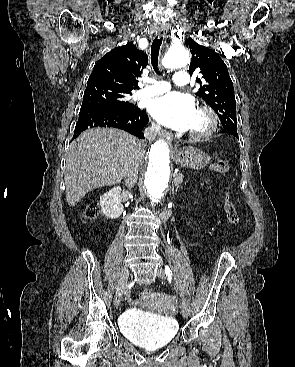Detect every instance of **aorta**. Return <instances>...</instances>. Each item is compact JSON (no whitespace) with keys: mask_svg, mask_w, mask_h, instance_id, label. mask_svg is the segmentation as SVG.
<instances>
[{"mask_svg":"<svg viewBox=\"0 0 295 367\" xmlns=\"http://www.w3.org/2000/svg\"><path fill=\"white\" fill-rule=\"evenodd\" d=\"M190 62L189 52L182 46L171 48L163 58L167 69L183 68ZM169 143L160 139L150 148L145 170V187L152 201L158 203L170 181Z\"/></svg>","mask_w":295,"mask_h":367,"instance_id":"1","label":"aorta"}]
</instances>
